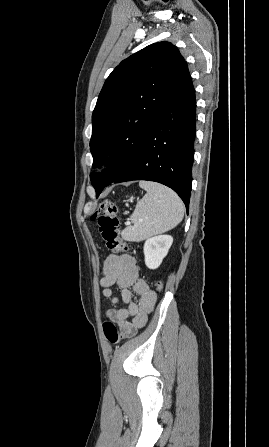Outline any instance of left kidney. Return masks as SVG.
<instances>
[{
  "instance_id": "obj_1",
  "label": "left kidney",
  "mask_w": 269,
  "mask_h": 447,
  "mask_svg": "<svg viewBox=\"0 0 269 447\" xmlns=\"http://www.w3.org/2000/svg\"><path fill=\"white\" fill-rule=\"evenodd\" d=\"M173 243L172 235H154L144 243L145 263L149 269H156L167 255L169 247Z\"/></svg>"
}]
</instances>
